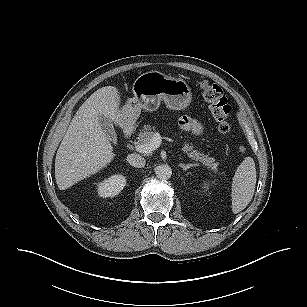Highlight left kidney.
Masks as SVG:
<instances>
[{
    "label": "left kidney",
    "instance_id": "left-kidney-1",
    "mask_svg": "<svg viewBox=\"0 0 307 307\" xmlns=\"http://www.w3.org/2000/svg\"><path fill=\"white\" fill-rule=\"evenodd\" d=\"M202 188L204 189V190H207L208 189V184H204L203 186H202Z\"/></svg>",
    "mask_w": 307,
    "mask_h": 307
}]
</instances>
